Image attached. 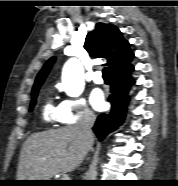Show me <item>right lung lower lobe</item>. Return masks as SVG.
Here are the masks:
<instances>
[{
  "label": "right lung lower lobe",
  "instance_id": "1",
  "mask_svg": "<svg viewBox=\"0 0 178 186\" xmlns=\"http://www.w3.org/2000/svg\"><path fill=\"white\" fill-rule=\"evenodd\" d=\"M134 66L130 63L110 72V96L111 110L106 114H100L93 127V131L99 138L104 139L109 133L123 124L126 116V107L129 102V90L135 83L131 78Z\"/></svg>",
  "mask_w": 178,
  "mask_h": 186
}]
</instances>
